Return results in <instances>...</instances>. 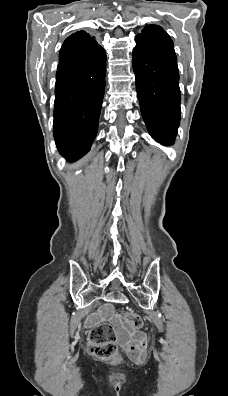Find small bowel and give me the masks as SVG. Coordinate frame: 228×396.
I'll list each match as a JSON object with an SVG mask.
<instances>
[{"instance_id": "small-bowel-1", "label": "small bowel", "mask_w": 228, "mask_h": 396, "mask_svg": "<svg viewBox=\"0 0 228 396\" xmlns=\"http://www.w3.org/2000/svg\"><path fill=\"white\" fill-rule=\"evenodd\" d=\"M104 317L110 318L114 326L119 331L122 338V345L128 356L136 363H143L146 359L147 339L143 332L133 331L128 337L123 321L118 315L111 312V307L103 311Z\"/></svg>"}]
</instances>
